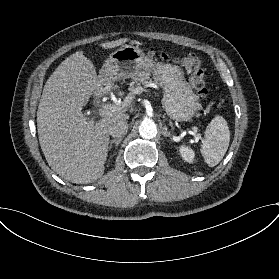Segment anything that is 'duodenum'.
Wrapping results in <instances>:
<instances>
[{
  "instance_id": "duodenum-1",
  "label": "duodenum",
  "mask_w": 279,
  "mask_h": 279,
  "mask_svg": "<svg viewBox=\"0 0 279 279\" xmlns=\"http://www.w3.org/2000/svg\"><path fill=\"white\" fill-rule=\"evenodd\" d=\"M102 95V87L98 86L95 91V98L98 99Z\"/></svg>"
}]
</instances>
